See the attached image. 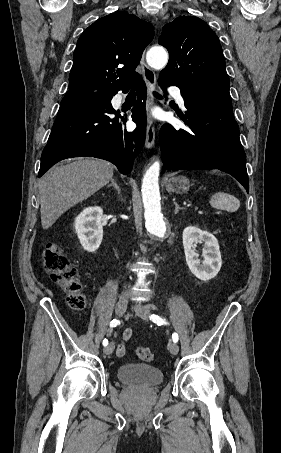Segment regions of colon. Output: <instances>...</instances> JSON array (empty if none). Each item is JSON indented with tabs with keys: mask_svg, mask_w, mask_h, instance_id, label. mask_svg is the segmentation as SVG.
<instances>
[{
	"mask_svg": "<svg viewBox=\"0 0 281 453\" xmlns=\"http://www.w3.org/2000/svg\"><path fill=\"white\" fill-rule=\"evenodd\" d=\"M44 269L51 279L60 284L68 295L71 308L77 312L85 311V297L78 277V269L70 265L67 255L54 243H44L42 247ZM141 362L151 363L156 360L154 353L145 348L138 349Z\"/></svg>",
	"mask_w": 281,
	"mask_h": 453,
	"instance_id": "colon-1",
	"label": "colon"
}]
</instances>
